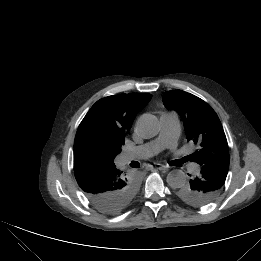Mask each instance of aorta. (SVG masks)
Here are the masks:
<instances>
[{
	"label": "aorta",
	"instance_id": "aorta-1",
	"mask_svg": "<svg viewBox=\"0 0 261 261\" xmlns=\"http://www.w3.org/2000/svg\"><path fill=\"white\" fill-rule=\"evenodd\" d=\"M160 130L159 122L156 116L152 114H143L136 123L135 132L144 139H149L158 134ZM171 188H181L186 183L185 175L177 170L170 172L166 179Z\"/></svg>",
	"mask_w": 261,
	"mask_h": 261
}]
</instances>
